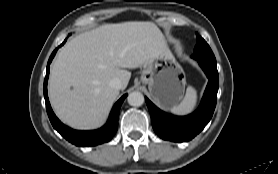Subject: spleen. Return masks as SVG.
Segmentation results:
<instances>
[{"mask_svg":"<svg viewBox=\"0 0 278 174\" xmlns=\"http://www.w3.org/2000/svg\"><path fill=\"white\" fill-rule=\"evenodd\" d=\"M197 102V91L192 86H188L182 101L172 107L171 112L176 115H186L191 113Z\"/></svg>","mask_w":278,"mask_h":174,"instance_id":"1","label":"spleen"}]
</instances>
